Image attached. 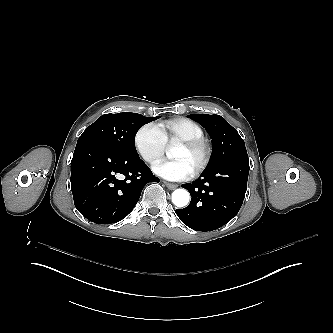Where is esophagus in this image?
Returning a JSON list of instances; mask_svg holds the SVG:
<instances>
[{"label": "esophagus", "instance_id": "esophagus-1", "mask_svg": "<svg viewBox=\"0 0 333 333\" xmlns=\"http://www.w3.org/2000/svg\"><path fill=\"white\" fill-rule=\"evenodd\" d=\"M164 184H165L166 187H167L168 189H170V190H175V189L178 187L177 184L169 183V182H166V181H164Z\"/></svg>", "mask_w": 333, "mask_h": 333}]
</instances>
